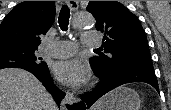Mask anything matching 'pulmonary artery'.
<instances>
[{
    "label": "pulmonary artery",
    "mask_w": 171,
    "mask_h": 110,
    "mask_svg": "<svg viewBox=\"0 0 171 110\" xmlns=\"http://www.w3.org/2000/svg\"><path fill=\"white\" fill-rule=\"evenodd\" d=\"M82 44L86 47H98L100 41L95 32H86L82 34ZM46 52L56 58L72 56L76 52V45L71 41H48L46 43Z\"/></svg>",
    "instance_id": "1"
}]
</instances>
